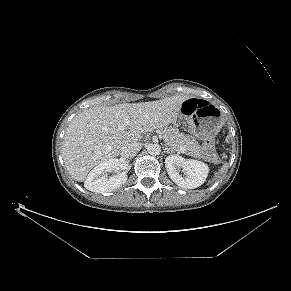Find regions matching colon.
Masks as SVG:
<instances>
[{"instance_id": "obj_1", "label": "colon", "mask_w": 291, "mask_h": 291, "mask_svg": "<svg viewBox=\"0 0 291 291\" xmlns=\"http://www.w3.org/2000/svg\"><path fill=\"white\" fill-rule=\"evenodd\" d=\"M204 106V102L203 101H197L196 104H194L192 106V111H195L198 107ZM203 153L204 155L214 161L217 162L219 160L217 154H216V150H215V143L213 140H207L204 145H203Z\"/></svg>"}]
</instances>
